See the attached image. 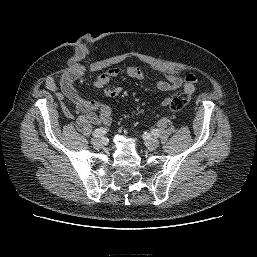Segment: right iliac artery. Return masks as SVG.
Masks as SVG:
<instances>
[{
    "instance_id": "right-iliac-artery-1",
    "label": "right iliac artery",
    "mask_w": 257,
    "mask_h": 257,
    "mask_svg": "<svg viewBox=\"0 0 257 257\" xmlns=\"http://www.w3.org/2000/svg\"><path fill=\"white\" fill-rule=\"evenodd\" d=\"M107 129L100 127L94 130L93 132V136L94 137H101L102 135H104L106 133Z\"/></svg>"
}]
</instances>
